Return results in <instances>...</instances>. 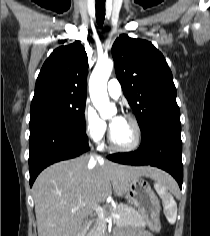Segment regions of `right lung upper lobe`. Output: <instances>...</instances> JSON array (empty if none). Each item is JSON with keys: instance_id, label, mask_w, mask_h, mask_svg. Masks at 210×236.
<instances>
[{"instance_id": "obj_1", "label": "right lung upper lobe", "mask_w": 210, "mask_h": 236, "mask_svg": "<svg viewBox=\"0 0 210 236\" xmlns=\"http://www.w3.org/2000/svg\"><path fill=\"white\" fill-rule=\"evenodd\" d=\"M88 59L79 42L55 49L38 75L33 101L49 96L86 98Z\"/></svg>"}]
</instances>
